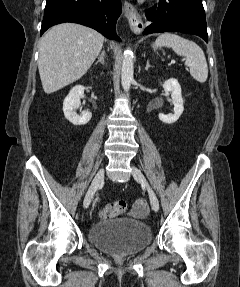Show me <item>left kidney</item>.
Returning <instances> with one entry per match:
<instances>
[{
	"label": "left kidney",
	"instance_id": "left-kidney-1",
	"mask_svg": "<svg viewBox=\"0 0 240 287\" xmlns=\"http://www.w3.org/2000/svg\"><path fill=\"white\" fill-rule=\"evenodd\" d=\"M163 88L165 91L171 92V97L173 100V104H174V113L173 114H168V115H164L162 113L159 114V119L166 124H172L175 123L179 117L181 116V114L184 111V107H183V98L181 95V87L177 81V79L174 78H170L168 80H166L163 84H162Z\"/></svg>",
	"mask_w": 240,
	"mask_h": 287
}]
</instances>
